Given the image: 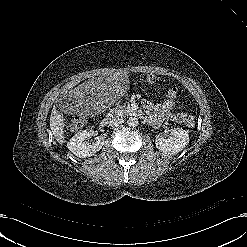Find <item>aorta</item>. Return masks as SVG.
Instances as JSON below:
<instances>
[{
	"label": "aorta",
	"instance_id": "obj_1",
	"mask_svg": "<svg viewBox=\"0 0 247 247\" xmlns=\"http://www.w3.org/2000/svg\"><path fill=\"white\" fill-rule=\"evenodd\" d=\"M127 124L130 127H137L139 124V121L136 117H129L127 120Z\"/></svg>",
	"mask_w": 247,
	"mask_h": 247
}]
</instances>
